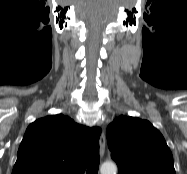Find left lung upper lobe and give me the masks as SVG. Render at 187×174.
I'll use <instances>...</instances> for the list:
<instances>
[{
	"mask_svg": "<svg viewBox=\"0 0 187 174\" xmlns=\"http://www.w3.org/2000/svg\"><path fill=\"white\" fill-rule=\"evenodd\" d=\"M107 139L118 174H176L164 137L149 121L119 116L107 127Z\"/></svg>",
	"mask_w": 187,
	"mask_h": 174,
	"instance_id": "left-lung-upper-lobe-1",
	"label": "left lung upper lobe"
}]
</instances>
